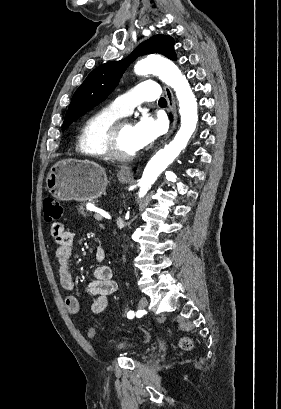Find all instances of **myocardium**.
Here are the masks:
<instances>
[{
	"label": "myocardium",
	"mask_w": 281,
	"mask_h": 409,
	"mask_svg": "<svg viewBox=\"0 0 281 409\" xmlns=\"http://www.w3.org/2000/svg\"><path fill=\"white\" fill-rule=\"evenodd\" d=\"M124 125H132L125 118H118L107 125L102 135V147L107 156L120 161L132 160L139 154V150L131 153H123L116 147L117 133Z\"/></svg>",
	"instance_id": "myocardium-1"
}]
</instances>
